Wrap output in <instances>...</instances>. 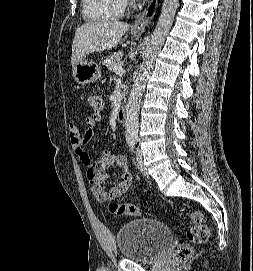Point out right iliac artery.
I'll list each match as a JSON object with an SVG mask.
<instances>
[{
    "label": "right iliac artery",
    "instance_id": "82829eb1",
    "mask_svg": "<svg viewBox=\"0 0 253 271\" xmlns=\"http://www.w3.org/2000/svg\"><path fill=\"white\" fill-rule=\"evenodd\" d=\"M134 145H135V143H134V142H129V146H130V150H131V152H133V151H134Z\"/></svg>",
    "mask_w": 253,
    "mask_h": 271
}]
</instances>
